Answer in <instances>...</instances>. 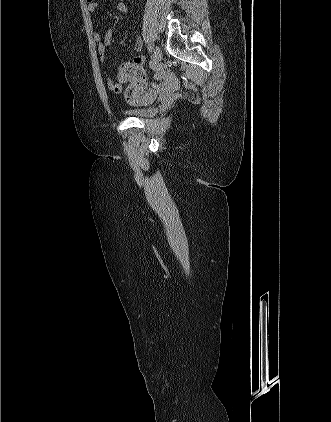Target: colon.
Segmentation results:
<instances>
[{
	"label": "colon",
	"instance_id": "obj_1",
	"mask_svg": "<svg viewBox=\"0 0 331 422\" xmlns=\"http://www.w3.org/2000/svg\"><path fill=\"white\" fill-rule=\"evenodd\" d=\"M145 71L142 67L133 64L132 62L124 63L120 66L117 78L118 81H126L131 79H143ZM126 99L133 101L136 99V90L129 87L125 93Z\"/></svg>",
	"mask_w": 331,
	"mask_h": 422
}]
</instances>
